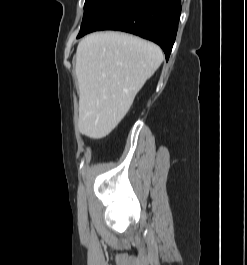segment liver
Instances as JSON below:
<instances>
[{
    "label": "liver",
    "instance_id": "1",
    "mask_svg": "<svg viewBox=\"0 0 247 265\" xmlns=\"http://www.w3.org/2000/svg\"><path fill=\"white\" fill-rule=\"evenodd\" d=\"M162 61L160 47L133 35L107 31L83 38L75 67L79 131L94 139L107 136Z\"/></svg>",
    "mask_w": 247,
    "mask_h": 265
}]
</instances>
